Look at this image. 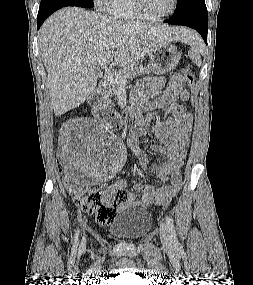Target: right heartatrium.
<instances>
[{
    "label": "right heart atrium",
    "instance_id": "right-heart-atrium-1",
    "mask_svg": "<svg viewBox=\"0 0 253 285\" xmlns=\"http://www.w3.org/2000/svg\"><path fill=\"white\" fill-rule=\"evenodd\" d=\"M95 5L99 8V9H106L110 0H93Z\"/></svg>",
    "mask_w": 253,
    "mask_h": 285
}]
</instances>
